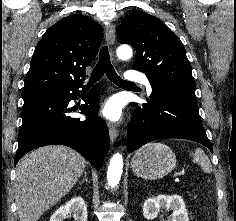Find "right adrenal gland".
<instances>
[{
  "label": "right adrenal gland",
  "mask_w": 236,
  "mask_h": 221,
  "mask_svg": "<svg viewBox=\"0 0 236 221\" xmlns=\"http://www.w3.org/2000/svg\"><path fill=\"white\" fill-rule=\"evenodd\" d=\"M84 182H86V183L89 182V181H88V178H87V172H86V171L84 172V178H83V180L79 181V184H83Z\"/></svg>",
  "instance_id": "1"
}]
</instances>
